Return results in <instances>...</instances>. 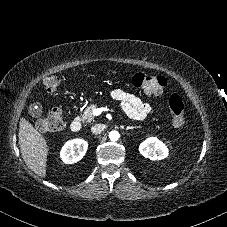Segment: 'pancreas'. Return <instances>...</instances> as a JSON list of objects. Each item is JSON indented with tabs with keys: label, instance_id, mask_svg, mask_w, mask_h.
I'll return each instance as SVG.
<instances>
[{
	"label": "pancreas",
	"instance_id": "obj_1",
	"mask_svg": "<svg viewBox=\"0 0 227 227\" xmlns=\"http://www.w3.org/2000/svg\"><path fill=\"white\" fill-rule=\"evenodd\" d=\"M97 107L96 104H91L89 106L86 107V109L84 110V113L81 117V121L82 122H91L94 121V115H93V110Z\"/></svg>",
	"mask_w": 227,
	"mask_h": 227
}]
</instances>
